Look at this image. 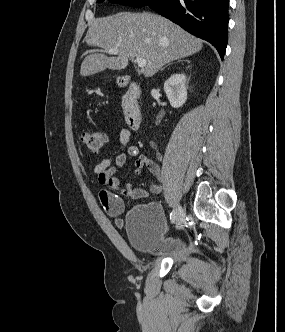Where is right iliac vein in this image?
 I'll list each match as a JSON object with an SVG mask.
<instances>
[{"label": "right iliac vein", "instance_id": "obj_1", "mask_svg": "<svg viewBox=\"0 0 285 332\" xmlns=\"http://www.w3.org/2000/svg\"><path fill=\"white\" fill-rule=\"evenodd\" d=\"M176 227L180 228L181 227V223L183 222L184 219V212L183 209L180 205L177 206L176 208Z\"/></svg>", "mask_w": 285, "mask_h": 332}]
</instances>
